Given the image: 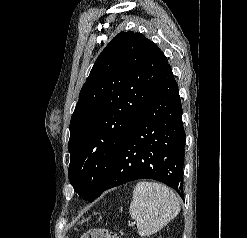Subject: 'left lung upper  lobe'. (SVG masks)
Listing matches in <instances>:
<instances>
[{"instance_id":"obj_1","label":"left lung upper lobe","mask_w":247,"mask_h":238,"mask_svg":"<svg viewBox=\"0 0 247 238\" xmlns=\"http://www.w3.org/2000/svg\"><path fill=\"white\" fill-rule=\"evenodd\" d=\"M168 61L144 35L121 32L98 56L70 121L69 180L94 201L119 147L156 90Z\"/></svg>"}]
</instances>
